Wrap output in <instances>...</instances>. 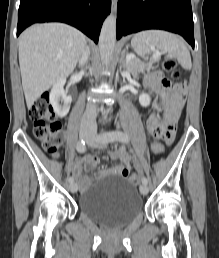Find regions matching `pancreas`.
<instances>
[{"label":"pancreas","instance_id":"obj_1","mask_svg":"<svg viewBox=\"0 0 219 258\" xmlns=\"http://www.w3.org/2000/svg\"><path fill=\"white\" fill-rule=\"evenodd\" d=\"M159 60L160 58H155L148 63H143L137 58H131L127 62V70L131 72L134 76H138V74L141 72L143 73L146 70L154 69L155 67L153 66V64L158 62Z\"/></svg>","mask_w":219,"mask_h":258}]
</instances>
